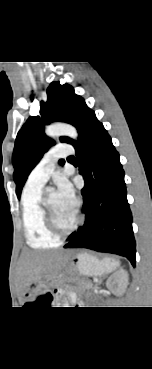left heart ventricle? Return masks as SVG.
I'll return each mask as SVG.
<instances>
[{"label": "left heart ventricle", "instance_id": "1", "mask_svg": "<svg viewBox=\"0 0 152 369\" xmlns=\"http://www.w3.org/2000/svg\"><path fill=\"white\" fill-rule=\"evenodd\" d=\"M47 201L57 224L62 229L69 228L75 220L76 212L64 207L56 193L48 195Z\"/></svg>", "mask_w": 152, "mask_h": 369}]
</instances>
